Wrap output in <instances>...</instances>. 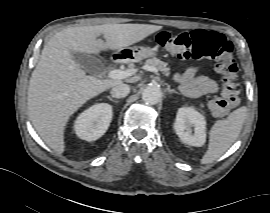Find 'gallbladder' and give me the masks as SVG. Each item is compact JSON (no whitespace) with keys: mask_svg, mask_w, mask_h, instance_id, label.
I'll use <instances>...</instances> for the list:
<instances>
[{"mask_svg":"<svg viewBox=\"0 0 270 213\" xmlns=\"http://www.w3.org/2000/svg\"><path fill=\"white\" fill-rule=\"evenodd\" d=\"M72 57L81 68L94 76H98L104 69L103 62L93 55L73 52Z\"/></svg>","mask_w":270,"mask_h":213,"instance_id":"bac80fb5","label":"gallbladder"}]
</instances>
